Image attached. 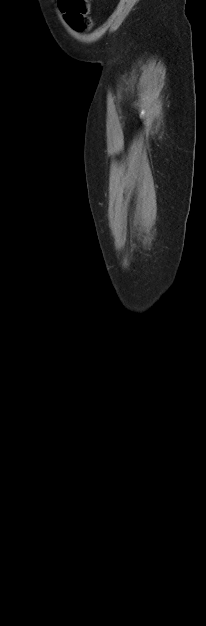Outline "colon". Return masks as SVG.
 Listing matches in <instances>:
<instances>
[{
	"instance_id": "1",
	"label": "colon",
	"mask_w": 206,
	"mask_h": 626,
	"mask_svg": "<svg viewBox=\"0 0 206 626\" xmlns=\"http://www.w3.org/2000/svg\"><path fill=\"white\" fill-rule=\"evenodd\" d=\"M59 7L68 24L83 32L91 27L89 0H58Z\"/></svg>"
}]
</instances>
